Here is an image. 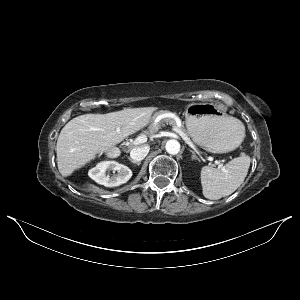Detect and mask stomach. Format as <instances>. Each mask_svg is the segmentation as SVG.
I'll use <instances>...</instances> for the list:
<instances>
[{"label": "stomach", "mask_w": 300, "mask_h": 300, "mask_svg": "<svg viewBox=\"0 0 300 300\" xmlns=\"http://www.w3.org/2000/svg\"><path fill=\"white\" fill-rule=\"evenodd\" d=\"M156 113L152 119L158 116ZM186 126L193 141L212 153H227L242 142L244 133L234 118L212 103L190 104L185 110Z\"/></svg>", "instance_id": "1"}]
</instances>
